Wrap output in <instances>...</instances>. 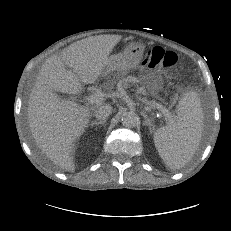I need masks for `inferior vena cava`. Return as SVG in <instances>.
Wrapping results in <instances>:
<instances>
[{"label": "inferior vena cava", "mask_w": 231, "mask_h": 231, "mask_svg": "<svg viewBox=\"0 0 231 231\" xmlns=\"http://www.w3.org/2000/svg\"><path fill=\"white\" fill-rule=\"evenodd\" d=\"M111 112L112 106L110 104H104L95 109L94 115L99 120H106Z\"/></svg>", "instance_id": "1"}]
</instances>
